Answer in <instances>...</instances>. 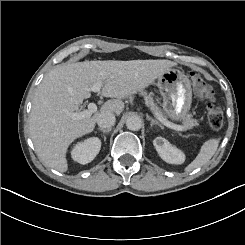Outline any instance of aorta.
<instances>
[{
	"instance_id": "obj_1",
	"label": "aorta",
	"mask_w": 245,
	"mask_h": 245,
	"mask_svg": "<svg viewBox=\"0 0 245 245\" xmlns=\"http://www.w3.org/2000/svg\"><path fill=\"white\" fill-rule=\"evenodd\" d=\"M126 127L131 131H138L142 127L141 118L137 115L129 116L126 120Z\"/></svg>"
}]
</instances>
